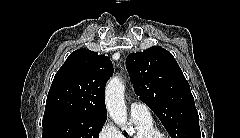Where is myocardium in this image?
Listing matches in <instances>:
<instances>
[{"label": "myocardium", "mask_w": 240, "mask_h": 138, "mask_svg": "<svg viewBox=\"0 0 240 138\" xmlns=\"http://www.w3.org/2000/svg\"><path fill=\"white\" fill-rule=\"evenodd\" d=\"M146 138H164L160 135V133H153L148 135Z\"/></svg>", "instance_id": "obj_1"}]
</instances>
